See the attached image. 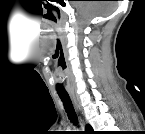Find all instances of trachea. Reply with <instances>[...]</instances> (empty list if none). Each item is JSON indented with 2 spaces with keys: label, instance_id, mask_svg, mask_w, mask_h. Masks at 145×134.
Listing matches in <instances>:
<instances>
[{
  "label": "trachea",
  "instance_id": "1",
  "mask_svg": "<svg viewBox=\"0 0 145 134\" xmlns=\"http://www.w3.org/2000/svg\"><path fill=\"white\" fill-rule=\"evenodd\" d=\"M59 97L61 98L63 104H64V108L70 118V120L77 124V116H76V113H75V110L73 108V105H72V102L70 100V97L68 95H59Z\"/></svg>",
  "mask_w": 145,
  "mask_h": 134
}]
</instances>
